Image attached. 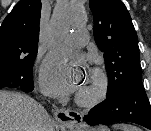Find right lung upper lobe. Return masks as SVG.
<instances>
[{"label":"right lung upper lobe","mask_w":151,"mask_h":131,"mask_svg":"<svg viewBox=\"0 0 151 131\" xmlns=\"http://www.w3.org/2000/svg\"><path fill=\"white\" fill-rule=\"evenodd\" d=\"M40 15V0L19 1L0 27V51L20 45L37 53Z\"/></svg>","instance_id":"obj_1"}]
</instances>
